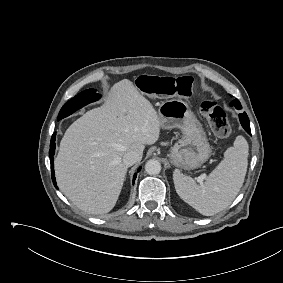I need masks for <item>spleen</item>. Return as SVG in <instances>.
<instances>
[{
  "label": "spleen",
  "mask_w": 283,
  "mask_h": 283,
  "mask_svg": "<svg viewBox=\"0 0 283 283\" xmlns=\"http://www.w3.org/2000/svg\"><path fill=\"white\" fill-rule=\"evenodd\" d=\"M248 143L238 136L234 146L224 153L221 163L206 177L203 185H197L178 169L173 173L177 194L204 216L214 215L228 207L240 191L248 165Z\"/></svg>",
  "instance_id": "3e777b00"
}]
</instances>
